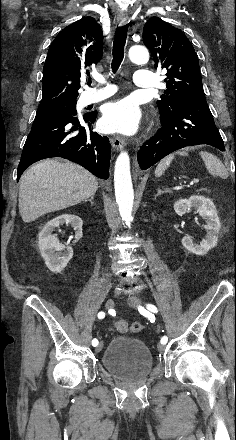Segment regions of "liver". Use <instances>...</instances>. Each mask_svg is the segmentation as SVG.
I'll list each match as a JSON object with an SVG mask.
<instances>
[{
  "instance_id": "6515ba94",
  "label": "liver",
  "mask_w": 236,
  "mask_h": 440,
  "mask_svg": "<svg viewBox=\"0 0 236 440\" xmlns=\"http://www.w3.org/2000/svg\"><path fill=\"white\" fill-rule=\"evenodd\" d=\"M97 189L96 178L81 166L44 160L21 178L19 213L25 223H30L47 213L81 203Z\"/></svg>"
}]
</instances>
